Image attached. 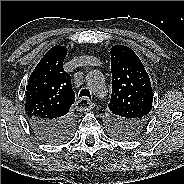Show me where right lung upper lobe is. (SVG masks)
I'll return each mask as SVG.
<instances>
[{"label": "right lung upper lobe", "mask_w": 184, "mask_h": 184, "mask_svg": "<svg viewBox=\"0 0 184 184\" xmlns=\"http://www.w3.org/2000/svg\"><path fill=\"white\" fill-rule=\"evenodd\" d=\"M66 54L64 46L52 47L30 75L25 104L29 120L59 121L70 115L75 94L63 69Z\"/></svg>", "instance_id": "right-lung-upper-lobe-1"}]
</instances>
